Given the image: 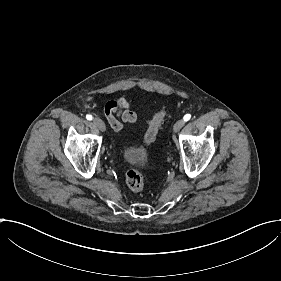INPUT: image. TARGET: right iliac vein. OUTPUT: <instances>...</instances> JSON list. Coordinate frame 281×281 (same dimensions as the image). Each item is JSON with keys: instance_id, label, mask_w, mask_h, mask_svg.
Here are the masks:
<instances>
[{"instance_id": "63e3f726", "label": "right iliac vein", "mask_w": 281, "mask_h": 281, "mask_svg": "<svg viewBox=\"0 0 281 281\" xmlns=\"http://www.w3.org/2000/svg\"><path fill=\"white\" fill-rule=\"evenodd\" d=\"M93 123H95L97 125V127H99L100 129H102L105 133L106 130V125L103 123V121H101L98 118H93Z\"/></svg>"}]
</instances>
